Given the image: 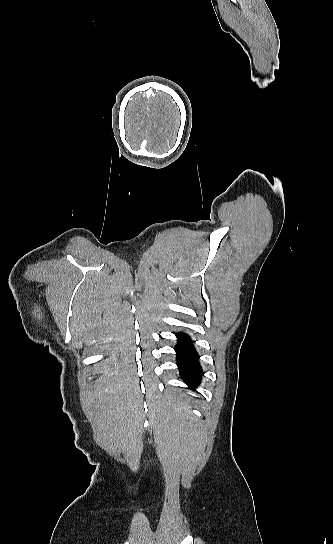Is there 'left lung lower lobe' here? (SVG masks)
<instances>
[{
    "label": "left lung lower lobe",
    "instance_id": "0a47b994",
    "mask_svg": "<svg viewBox=\"0 0 333 544\" xmlns=\"http://www.w3.org/2000/svg\"><path fill=\"white\" fill-rule=\"evenodd\" d=\"M176 337L178 344L175 346V351L180 376L189 388L194 389L200 384L203 375L198 353L188 334L179 332L176 333Z\"/></svg>",
    "mask_w": 333,
    "mask_h": 544
}]
</instances>
